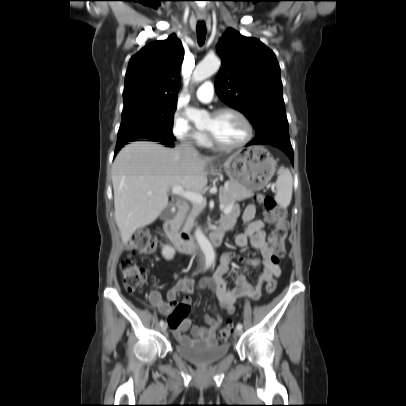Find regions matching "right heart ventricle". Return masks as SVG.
<instances>
[{
    "label": "right heart ventricle",
    "mask_w": 406,
    "mask_h": 406,
    "mask_svg": "<svg viewBox=\"0 0 406 406\" xmlns=\"http://www.w3.org/2000/svg\"><path fill=\"white\" fill-rule=\"evenodd\" d=\"M201 144L204 146H211V142L207 137L204 138Z\"/></svg>",
    "instance_id": "e07e8e85"
}]
</instances>
